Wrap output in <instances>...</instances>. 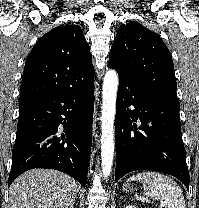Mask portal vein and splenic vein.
<instances>
[{"label":"portal vein and splenic vein","mask_w":199,"mask_h":208,"mask_svg":"<svg viewBox=\"0 0 199 208\" xmlns=\"http://www.w3.org/2000/svg\"><path fill=\"white\" fill-rule=\"evenodd\" d=\"M159 206H160V207H164V205H163V204H160Z\"/></svg>","instance_id":"obj_1"}]
</instances>
